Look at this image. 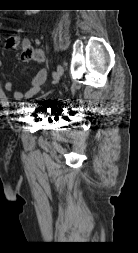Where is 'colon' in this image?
<instances>
[{
  "instance_id": "colon-1",
  "label": "colon",
  "mask_w": 138,
  "mask_h": 253,
  "mask_svg": "<svg viewBox=\"0 0 138 253\" xmlns=\"http://www.w3.org/2000/svg\"><path fill=\"white\" fill-rule=\"evenodd\" d=\"M16 45V40L15 39H10L9 40V46L13 47ZM22 58L25 60H41L42 59V54L39 51H33L32 49L25 48L22 50Z\"/></svg>"
}]
</instances>
